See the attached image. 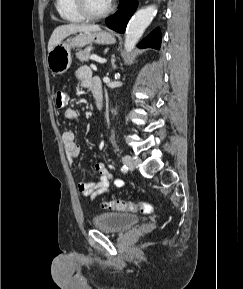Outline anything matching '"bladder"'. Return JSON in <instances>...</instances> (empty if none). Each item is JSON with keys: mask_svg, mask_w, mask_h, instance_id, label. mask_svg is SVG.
I'll return each mask as SVG.
<instances>
[{"mask_svg": "<svg viewBox=\"0 0 243 289\" xmlns=\"http://www.w3.org/2000/svg\"><path fill=\"white\" fill-rule=\"evenodd\" d=\"M140 222L137 215L125 212H104L96 215L92 224L99 230L109 232H124Z\"/></svg>", "mask_w": 243, "mask_h": 289, "instance_id": "obj_1", "label": "bladder"}]
</instances>
